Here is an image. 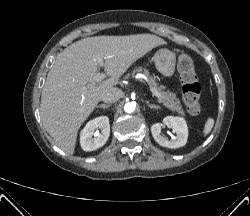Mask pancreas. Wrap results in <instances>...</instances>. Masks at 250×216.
<instances>
[{
  "label": "pancreas",
  "mask_w": 250,
  "mask_h": 216,
  "mask_svg": "<svg viewBox=\"0 0 250 216\" xmlns=\"http://www.w3.org/2000/svg\"><path fill=\"white\" fill-rule=\"evenodd\" d=\"M139 72H143L148 77V81L151 87L156 89L161 94V97H158V101L160 103H162L165 107H167L172 112H176L183 116L185 115L182 105L174 93L169 92V91H164L165 86L159 85L156 82L155 77L150 76L148 70L142 67H135L132 71V75L134 76L136 73H139Z\"/></svg>",
  "instance_id": "1"
}]
</instances>
